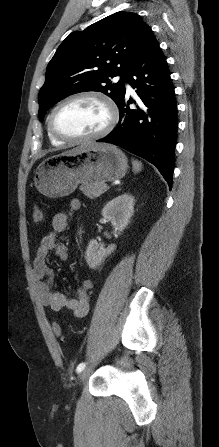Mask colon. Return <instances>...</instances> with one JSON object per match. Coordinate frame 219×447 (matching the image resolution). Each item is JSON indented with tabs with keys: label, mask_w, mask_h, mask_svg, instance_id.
<instances>
[{
	"label": "colon",
	"mask_w": 219,
	"mask_h": 447,
	"mask_svg": "<svg viewBox=\"0 0 219 447\" xmlns=\"http://www.w3.org/2000/svg\"><path fill=\"white\" fill-rule=\"evenodd\" d=\"M33 222L36 224H41L44 221V214L39 207H35L32 215ZM53 333L56 337L63 336V330L60 324L54 323L52 326Z\"/></svg>",
	"instance_id": "1"
}]
</instances>
